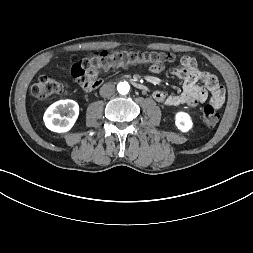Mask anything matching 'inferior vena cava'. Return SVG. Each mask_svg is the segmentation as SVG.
Wrapping results in <instances>:
<instances>
[{
  "mask_svg": "<svg viewBox=\"0 0 253 253\" xmlns=\"http://www.w3.org/2000/svg\"><path fill=\"white\" fill-rule=\"evenodd\" d=\"M115 92V86L112 84H104L101 88H100V95L102 97H110L114 94Z\"/></svg>",
  "mask_w": 253,
  "mask_h": 253,
  "instance_id": "inferior-vena-cava-1",
  "label": "inferior vena cava"
}]
</instances>
